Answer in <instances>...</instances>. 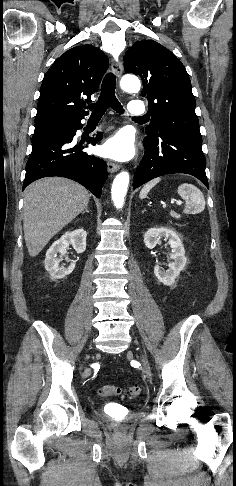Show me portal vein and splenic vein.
I'll return each mask as SVG.
<instances>
[{"label": "portal vein and splenic vein", "mask_w": 236, "mask_h": 486, "mask_svg": "<svg viewBox=\"0 0 236 486\" xmlns=\"http://www.w3.org/2000/svg\"><path fill=\"white\" fill-rule=\"evenodd\" d=\"M176 204H177L178 206H180V205H182V201L178 200V201H176Z\"/></svg>", "instance_id": "18ae733b"}]
</instances>
